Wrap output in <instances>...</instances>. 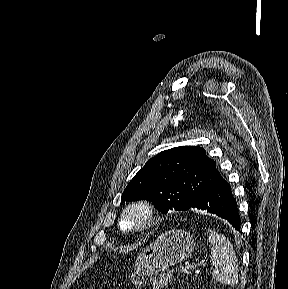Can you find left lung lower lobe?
<instances>
[{"mask_svg":"<svg viewBox=\"0 0 288 289\" xmlns=\"http://www.w3.org/2000/svg\"><path fill=\"white\" fill-rule=\"evenodd\" d=\"M197 208L226 219L236 230H240L237 202L230 185L220 176L192 203L189 209Z\"/></svg>","mask_w":288,"mask_h":289,"instance_id":"left-lung-lower-lobe-1","label":"left lung lower lobe"}]
</instances>
